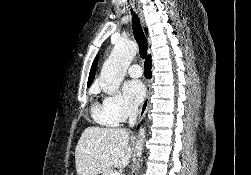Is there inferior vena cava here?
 Masks as SVG:
<instances>
[{
	"label": "inferior vena cava",
	"instance_id": "1",
	"mask_svg": "<svg viewBox=\"0 0 251 175\" xmlns=\"http://www.w3.org/2000/svg\"><path fill=\"white\" fill-rule=\"evenodd\" d=\"M137 107H129L128 115H129V125L130 127H134L137 121Z\"/></svg>",
	"mask_w": 251,
	"mask_h": 175
}]
</instances>
